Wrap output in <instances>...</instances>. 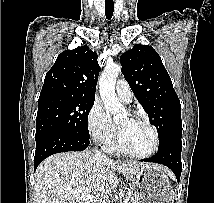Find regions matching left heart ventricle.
<instances>
[{
  "instance_id": "b2bd125f",
  "label": "left heart ventricle",
  "mask_w": 214,
  "mask_h": 203,
  "mask_svg": "<svg viewBox=\"0 0 214 203\" xmlns=\"http://www.w3.org/2000/svg\"><path fill=\"white\" fill-rule=\"evenodd\" d=\"M123 146L132 153L148 152L153 145V134L144 124L123 116L118 121Z\"/></svg>"
}]
</instances>
